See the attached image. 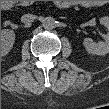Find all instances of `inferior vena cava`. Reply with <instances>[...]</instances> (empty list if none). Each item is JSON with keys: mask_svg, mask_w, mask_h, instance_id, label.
I'll return each instance as SVG.
<instances>
[{"mask_svg": "<svg viewBox=\"0 0 109 109\" xmlns=\"http://www.w3.org/2000/svg\"><path fill=\"white\" fill-rule=\"evenodd\" d=\"M35 19H36V16L33 15V14H24L21 17V22H23V23H30V22L34 21Z\"/></svg>", "mask_w": 109, "mask_h": 109, "instance_id": "obj_1", "label": "inferior vena cava"}]
</instances>
